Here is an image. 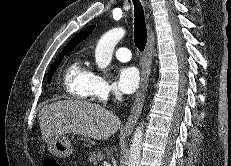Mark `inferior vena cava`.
<instances>
[{
	"label": "inferior vena cava",
	"instance_id": "1",
	"mask_svg": "<svg viewBox=\"0 0 231 166\" xmlns=\"http://www.w3.org/2000/svg\"><path fill=\"white\" fill-rule=\"evenodd\" d=\"M116 98L119 100V96L118 95H116Z\"/></svg>",
	"mask_w": 231,
	"mask_h": 166
}]
</instances>
